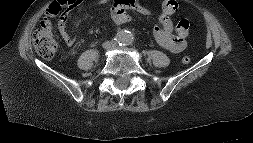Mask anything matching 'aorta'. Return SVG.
<instances>
[{
  "mask_svg": "<svg viewBox=\"0 0 253 143\" xmlns=\"http://www.w3.org/2000/svg\"><path fill=\"white\" fill-rule=\"evenodd\" d=\"M133 40V35L130 31L127 30H121L117 34V41L120 44L126 45L132 42Z\"/></svg>",
  "mask_w": 253,
  "mask_h": 143,
  "instance_id": "762f6f07",
  "label": "aorta"
}]
</instances>
